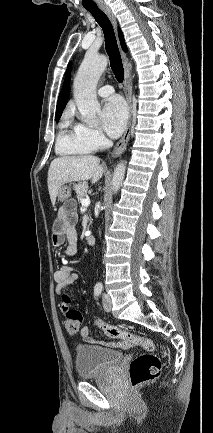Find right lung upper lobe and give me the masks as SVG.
I'll return each mask as SVG.
<instances>
[{
  "label": "right lung upper lobe",
  "mask_w": 213,
  "mask_h": 433,
  "mask_svg": "<svg viewBox=\"0 0 213 433\" xmlns=\"http://www.w3.org/2000/svg\"><path fill=\"white\" fill-rule=\"evenodd\" d=\"M118 32H119V38L121 41V46H122L124 51H127V47L125 45L122 32L120 29L118 30ZM70 77H71V64L69 65L62 90H61L59 97H58L57 107H56V120H59V118L61 117V114L63 112V109L65 108V105L67 103V99H68L69 94H70V87H69Z\"/></svg>",
  "instance_id": "right-lung-upper-lobe-1"
}]
</instances>
